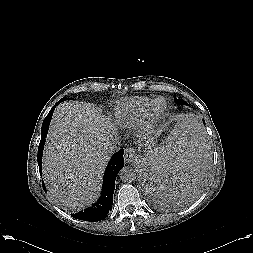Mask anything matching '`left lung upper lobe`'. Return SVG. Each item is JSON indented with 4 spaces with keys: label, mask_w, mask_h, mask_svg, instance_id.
<instances>
[{
    "label": "left lung upper lobe",
    "mask_w": 253,
    "mask_h": 253,
    "mask_svg": "<svg viewBox=\"0 0 253 253\" xmlns=\"http://www.w3.org/2000/svg\"><path fill=\"white\" fill-rule=\"evenodd\" d=\"M176 103H178L179 105L183 104V105H187V103L181 99H175Z\"/></svg>",
    "instance_id": "5c2ea615"
}]
</instances>
